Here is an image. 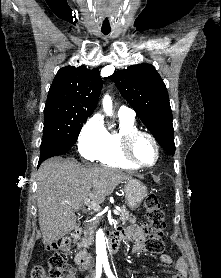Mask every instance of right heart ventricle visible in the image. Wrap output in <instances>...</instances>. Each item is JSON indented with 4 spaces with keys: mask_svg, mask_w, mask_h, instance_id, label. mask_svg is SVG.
Masks as SVG:
<instances>
[{
    "mask_svg": "<svg viewBox=\"0 0 221 278\" xmlns=\"http://www.w3.org/2000/svg\"><path fill=\"white\" fill-rule=\"evenodd\" d=\"M137 130L133 119L119 116V129L107 131L105 141L96 160L106 166L134 169L132 164L128 163L120 153V141L122 135Z\"/></svg>",
    "mask_w": 221,
    "mask_h": 278,
    "instance_id": "e07e8e85",
    "label": "right heart ventricle"
}]
</instances>
